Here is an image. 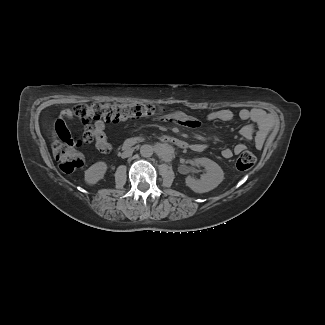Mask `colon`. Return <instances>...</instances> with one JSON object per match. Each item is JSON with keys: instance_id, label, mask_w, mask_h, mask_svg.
Here are the masks:
<instances>
[{"instance_id": "5ec220e1", "label": "colon", "mask_w": 325, "mask_h": 325, "mask_svg": "<svg viewBox=\"0 0 325 325\" xmlns=\"http://www.w3.org/2000/svg\"><path fill=\"white\" fill-rule=\"evenodd\" d=\"M164 112L163 108L151 104L139 103H92L78 104L73 108V115L84 124L92 120L102 119L107 122H119L128 119L152 117ZM53 152L60 169L65 173H71L83 166L85 158L83 153L73 146L61 141L53 143ZM255 156L249 152H242L236 161L239 170H248L254 166Z\"/></svg>"}]
</instances>
